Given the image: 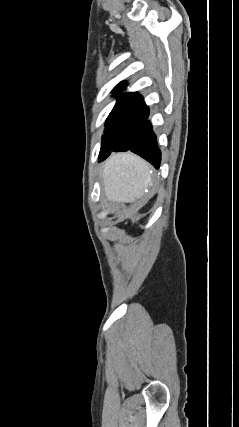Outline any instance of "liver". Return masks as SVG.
<instances>
[{"label": "liver", "mask_w": 239, "mask_h": 427, "mask_svg": "<svg viewBox=\"0 0 239 427\" xmlns=\"http://www.w3.org/2000/svg\"><path fill=\"white\" fill-rule=\"evenodd\" d=\"M102 180L109 201L133 203L151 184L149 165L130 152L114 154L103 166Z\"/></svg>", "instance_id": "liver-1"}]
</instances>
